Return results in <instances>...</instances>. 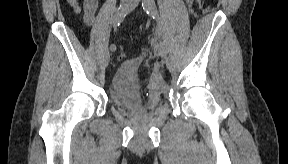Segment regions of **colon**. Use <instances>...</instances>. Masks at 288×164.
Returning <instances> with one entry per match:
<instances>
[{"label":"colon","mask_w":288,"mask_h":164,"mask_svg":"<svg viewBox=\"0 0 288 164\" xmlns=\"http://www.w3.org/2000/svg\"><path fill=\"white\" fill-rule=\"evenodd\" d=\"M87 1V0H86ZM84 14H83V17L84 18H90V17H93L94 16V10H92L90 7L88 6H85L84 7V10H83ZM118 58L123 60L126 58V53L124 52L123 49L120 50L119 52V55H118Z\"/></svg>","instance_id":"5ec220e1"}]
</instances>
